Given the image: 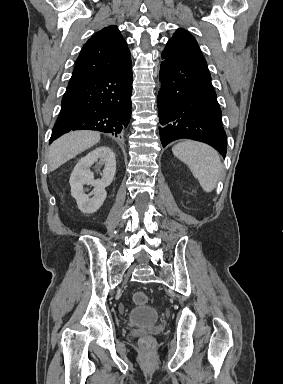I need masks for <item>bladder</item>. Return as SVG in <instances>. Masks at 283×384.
I'll list each match as a JSON object with an SVG mask.
<instances>
[{"label": "bladder", "mask_w": 283, "mask_h": 384, "mask_svg": "<svg viewBox=\"0 0 283 384\" xmlns=\"http://www.w3.org/2000/svg\"><path fill=\"white\" fill-rule=\"evenodd\" d=\"M158 312L151 305L134 306L127 315V321L134 326H144L158 321Z\"/></svg>", "instance_id": "1"}]
</instances>
